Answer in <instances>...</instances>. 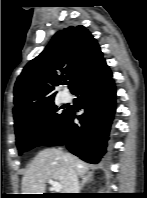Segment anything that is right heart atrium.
<instances>
[{"label": "right heart atrium", "mask_w": 147, "mask_h": 198, "mask_svg": "<svg viewBox=\"0 0 147 198\" xmlns=\"http://www.w3.org/2000/svg\"><path fill=\"white\" fill-rule=\"evenodd\" d=\"M47 129V122L46 121H42L40 124H39V130L40 131H45Z\"/></svg>", "instance_id": "1"}]
</instances>
